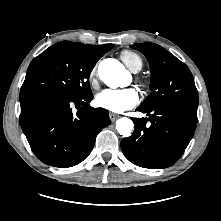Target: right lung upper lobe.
<instances>
[{"instance_id":"obj_1","label":"right lung upper lobe","mask_w":221,"mask_h":221,"mask_svg":"<svg viewBox=\"0 0 221 221\" xmlns=\"http://www.w3.org/2000/svg\"><path fill=\"white\" fill-rule=\"evenodd\" d=\"M67 42V41H64ZM73 43V42H69ZM80 48H82L84 51H86L88 54L100 59L104 53L111 50L114 45L113 44H105V45H89V44H83V43H73Z\"/></svg>"}]
</instances>
